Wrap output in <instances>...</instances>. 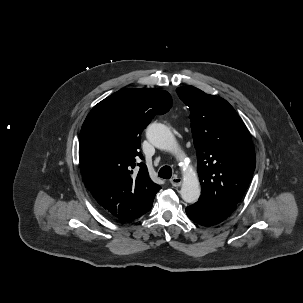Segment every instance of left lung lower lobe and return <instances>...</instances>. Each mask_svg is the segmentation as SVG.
<instances>
[{
	"instance_id": "0a47b994",
	"label": "left lung lower lobe",
	"mask_w": 303,
	"mask_h": 303,
	"mask_svg": "<svg viewBox=\"0 0 303 303\" xmlns=\"http://www.w3.org/2000/svg\"><path fill=\"white\" fill-rule=\"evenodd\" d=\"M186 213L192 221L203 226L219 224L229 216L217 207L204 202L190 205L186 208Z\"/></svg>"
}]
</instances>
